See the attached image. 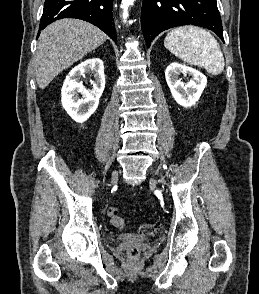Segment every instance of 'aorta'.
Listing matches in <instances>:
<instances>
[{
    "mask_svg": "<svg viewBox=\"0 0 259 294\" xmlns=\"http://www.w3.org/2000/svg\"><path fill=\"white\" fill-rule=\"evenodd\" d=\"M135 0H122L121 8L123 9V19L128 17V8L134 3Z\"/></svg>",
    "mask_w": 259,
    "mask_h": 294,
    "instance_id": "aorta-1",
    "label": "aorta"
}]
</instances>
